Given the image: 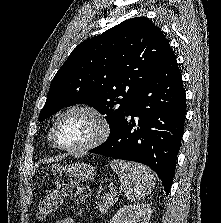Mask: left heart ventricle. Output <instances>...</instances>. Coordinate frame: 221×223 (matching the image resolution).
<instances>
[{
    "label": "left heart ventricle",
    "mask_w": 221,
    "mask_h": 223,
    "mask_svg": "<svg viewBox=\"0 0 221 223\" xmlns=\"http://www.w3.org/2000/svg\"><path fill=\"white\" fill-rule=\"evenodd\" d=\"M98 131L94 117L85 112H71L60 121L56 138L63 146H80L91 140Z\"/></svg>",
    "instance_id": "b2bd125f"
}]
</instances>
